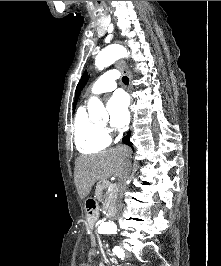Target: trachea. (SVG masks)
<instances>
[{"label":"trachea","mask_w":221,"mask_h":266,"mask_svg":"<svg viewBox=\"0 0 221 266\" xmlns=\"http://www.w3.org/2000/svg\"><path fill=\"white\" fill-rule=\"evenodd\" d=\"M122 82H123L125 85H128V84H129V79H128V77L123 76V77H122Z\"/></svg>","instance_id":"obj_1"}]
</instances>
